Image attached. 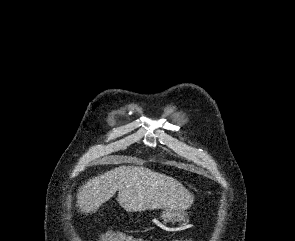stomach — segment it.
I'll use <instances>...</instances> for the list:
<instances>
[{
  "label": "stomach",
  "mask_w": 295,
  "mask_h": 241,
  "mask_svg": "<svg viewBox=\"0 0 295 241\" xmlns=\"http://www.w3.org/2000/svg\"><path fill=\"white\" fill-rule=\"evenodd\" d=\"M161 217L164 219V221L172 223L186 221V213L184 211L171 210L169 208L162 212Z\"/></svg>",
  "instance_id": "obj_1"
}]
</instances>
